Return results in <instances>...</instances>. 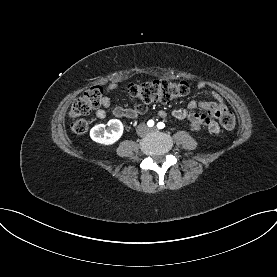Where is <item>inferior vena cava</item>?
<instances>
[{
    "label": "inferior vena cava",
    "mask_w": 277,
    "mask_h": 277,
    "mask_svg": "<svg viewBox=\"0 0 277 277\" xmlns=\"http://www.w3.org/2000/svg\"><path fill=\"white\" fill-rule=\"evenodd\" d=\"M146 130V127L143 124L138 125L137 134L142 136Z\"/></svg>",
    "instance_id": "602c4592"
}]
</instances>
